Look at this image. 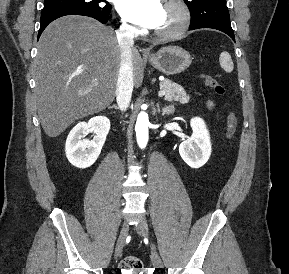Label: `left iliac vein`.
<instances>
[{"label": "left iliac vein", "instance_id": "obj_1", "mask_svg": "<svg viewBox=\"0 0 289 274\" xmlns=\"http://www.w3.org/2000/svg\"><path fill=\"white\" fill-rule=\"evenodd\" d=\"M137 233L142 237H147L149 233L148 224L145 220H142L137 226H136ZM152 264L157 268L163 267V262L158 255V253L153 249L152 255H151Z\"/></svg>", "mask_w": 289, "mask_h": 274}]
</instances>
